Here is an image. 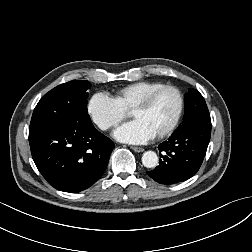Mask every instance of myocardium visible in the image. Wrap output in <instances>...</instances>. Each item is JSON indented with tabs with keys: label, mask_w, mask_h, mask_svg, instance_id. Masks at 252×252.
<instances>
[{
	"label": "myocardium",
	"mask_w": 252,
	"mask_h": 252,
	"mask_svg": "<svg viewBox=\"0 0 252 252\" xmlns=\"http://www.w3.org/2000/svg\"><path fill=\"white\" fill-rule=\"evenodd\" d=\"M166 90H171V91L175 92V94L177 95V98H178V108H177L175 117H174L173 121L171 122V124L165 130H163L162 132L155 135L159 139L166 138L169 135H171L175 131V129L177 128V126L180 122V119H181L183 111H184V106H185V98H184L182 91L174 85H163V86L149 92L142 100H140L131 109V112H133L136 110H144V109L148 108L152 104L154 99L161 92L166 91Z\"/></svg>",
	"instance_id": "obj_1"
}]
</instances>
